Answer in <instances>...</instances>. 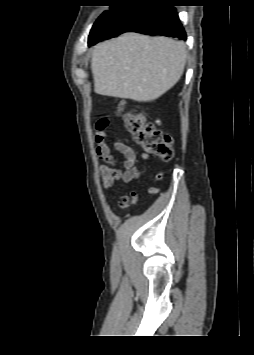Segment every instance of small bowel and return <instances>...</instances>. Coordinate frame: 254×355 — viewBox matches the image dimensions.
Wrapping results in <instances>:
<instances>
[{
	"mask_svg": "<svg viewBox=\"0 0 254 355\" xmlns=\"http://www.w3.org/2000/svg\"><path fill=\"white\" fill-rule=\"evenodd\" d=\"M104 120L107 126L102 129L97 127L96 131V153L97 156L103 163L99 167L101 175V183L104 190H109L117 182L129 183L136 180L140 176L139 169L135 166L136 163V153L135 151L126 143L114 140L112 142L113 147L117 152L123 155L124 160L118 166L116 160L111 152L110 144L106 138L105 129L109 125V121ZM144 160H147L146 155L143 156ZM164 177L162 172H157L153 175V181H161ZM157 188H150L149 193L157 192ZM136 201V191H130L123 194L119 200V206L125 209L129 206L131 202Z\"/></svg>",
	"mask_w": 254,
	"mask_h": 355,
	"instance_id": "1",
	"label": "small bowel"
}]
</instances>
